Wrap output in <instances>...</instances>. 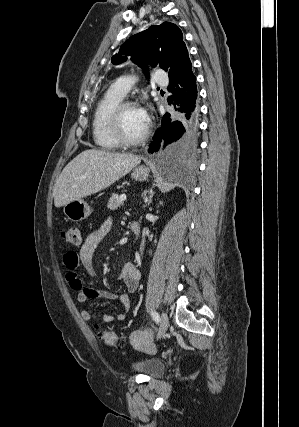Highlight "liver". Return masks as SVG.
I'll return each instance as SVG.
<instances>
[{"instance_id": "liver-1", "label": "liver", "mask_w": 299, "mask_h": 427, "mask_svg": "<svg viewBox=\"0 0 299 427\" xmlns=\"http://www.w3.org/2000/svg\"><path fill=\"white\" fill-rule=\"evenodd\" d=\"M141 157L89 149L70 161L59 175L53 192L57 208L111 186L140 164Z\"/></svg>"}]
</instances>
